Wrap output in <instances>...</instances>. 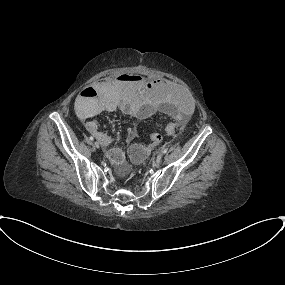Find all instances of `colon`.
I'll use <instances>...</instances> for the list:
<instances>
[{
  "mask_svg": "<svg viewBox=\"0 0 285 285\" xmlns=\"http://www.w3.org/2000/svg\"><path fill=\"white\" fill-rule=\"evenodd\" d=\"M180 129V125L176 123H169L166 126V130L169 132H176ZM150 144L148 146H144L138 143L133 144L130 147V158L134 162H142L146 159L150 149L155 145L159 144L162 141V136L158 132L149 133Z\"/></svg>",
  "mask_w": 285,
  "mask_h": 285,
  "instance_id": "colon-1",
  "label": "colon"
}]
</instances>
